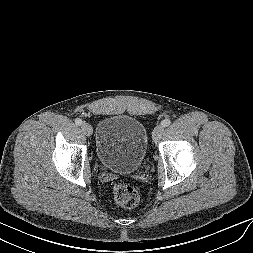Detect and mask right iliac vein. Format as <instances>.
Returning a JSON list of instances; mask_svg holds the SVG:
<instances>
[{
  "label": "right iliac vein",
  "instance_id": "right-iliac-vein-1",
  "mask_svg": "<svg viewBox=\"0 0 253 253\" xmlns=\"http://www.w3.org/2000/svg\"><path fill=\"white\" fill-rule=\"evenodd\" d=\"M81 129H82L83 133L86 136H91L92 135L93 129H92V126L90 124L82 123Z\"/></svg>",
  "mask_w": 253,
  "mask_h": 253
}]
</instances>
